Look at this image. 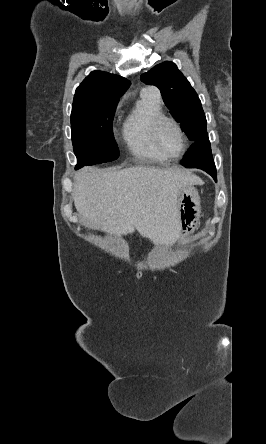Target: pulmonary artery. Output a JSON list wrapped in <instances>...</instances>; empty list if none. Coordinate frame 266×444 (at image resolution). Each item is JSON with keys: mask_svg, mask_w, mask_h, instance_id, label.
Segmentation results:
<instances>
[{"mask_svg": "<svg viewBox=\"0 0 266 444\" xmlns=\"http://www.w3.org/2000/svg\"><path fill=\"white\" fill-rule=\"evenodd\" d=\"M144 91L145 92H150V93H153V94H156V95L159 96V91L155 87H149V88L145 89Z\"/></svg>", "mask_w": 266, "mask_h": 444, "instance_id": "obj_1", "label": "pulmonary artery"}]
</instances>
